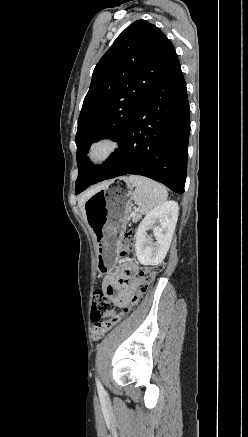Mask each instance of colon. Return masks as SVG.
I'll use <instances>...</instances> for the list:
<instances>
[{
	"instance_id": "1",
	"label": "colon",
	"mask_w": 248,
	"mask_h": 437,
	"mask_svg": "<svg viewBox=\"0 0 248 437\" xmlns=\"http://www.w3.org/2000/svg\"><path fill=\"white\" fill-rule=\"evenodd\" d=\"M135 243V234L133 231L126 232L120 242V255L126 256L131 251ZM164 269V264L160 263L155 266L143 268L139 273V282L135 295L131 300V306L135 305L139 299L146 293L155 277ZM130 310V307L125 308L122 312L110 315L113 311V302L107 293L102 289L94 291L91 319L94 323L92 336L95 340L101 339L105 333L113 328L124 315Z\"/></svg>"
}]
</instances>
